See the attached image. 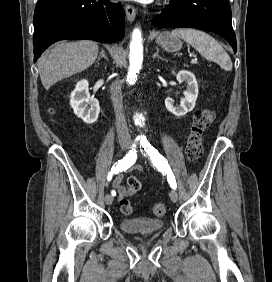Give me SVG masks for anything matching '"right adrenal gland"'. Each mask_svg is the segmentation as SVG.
Masks as SVG:
<instances>
[{
	"mask_svg": "<svg viewBox=\"0 0 272 282\" xmlns=\"http://www.w3.org/2000/svg\"><path fill=\"white\" fill-rule=\"evenodd\" d=\"M102 58L106 59L108 61V57L107 55L105 54V51L104 49H101L100 50V55L98 56L97 58V62H99Z\"/></svg>",
	"mask_w": 272,
	"mask_h": 282,
	"instance_id": "obj_1",
	"label": "right adrenal gland"
}]
</instances>
